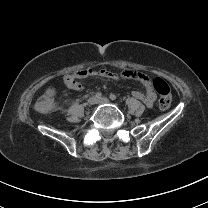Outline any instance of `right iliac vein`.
I'll return each instance as SVG.
<instances>
[{
  "instance_id": "63e3f726",
  "label": "right iliac vein",
  "mask_w": 208,
  "mask_h": 208,
  "mask_svg": "<svg viewBox=\"0 0 208 208\" xmlns=\"http://www.w3.org/2000/svg\"><path fill=\"white\" fill-rule=\"evenodd\" d=\"M96 101H97V99H96V97H90L88 100H87V104L89 105V106H91V105H94L95 103H96Z\"/></svg>"
}]
</instances>
